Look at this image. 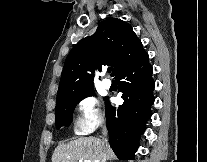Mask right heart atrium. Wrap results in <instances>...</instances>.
I'll return each instance as SVG.
<instances>
[{
	"label": "right heart atrium",
	"instance_id": "right-heart-atrium-1",
	"mask_svg": "<svg viewBox=\"0 0 207 162\" xmlns=\"http://www.w3.org/2000/svg\"><path fill=\"white\" fill-rule=\"evenodd\" d=\"M78 118L77 132L85 135L90 133L103 121V114L98 99L93 95H86L77 104Z\"/></svg>",
	"mask_w": 207,
	"mask_h": 162
}]
</instances>
